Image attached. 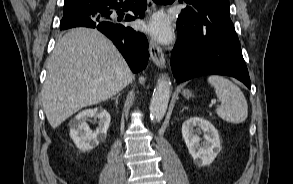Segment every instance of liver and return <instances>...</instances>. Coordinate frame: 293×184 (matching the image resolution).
<instances>
[{
  "label": "liver",
  "instance_id": "liver-1",
  "mask_svg": "<svg viewBox=\"0 0 293 184\" xmlns=\"http://www.w3.org/2000/svg\"><path fill=\"white\" fill-rule=\"evenodd\" d=\"M46 68L42 104L53 129L82 108L115 96L133 80L112 42L85 27L71 29L59 39Z\"/></svg>",
  "mask_w": 293,
  "mask_h": 184
}]
</instances>
